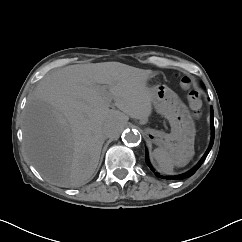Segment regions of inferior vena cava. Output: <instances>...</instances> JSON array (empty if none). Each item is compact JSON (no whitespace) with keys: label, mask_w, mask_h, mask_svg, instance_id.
I'll list each match as a JSON object with an SVG mask.
<instances>
[{"label":"inferior vena cava","mask_w":242,"mask_h":242,"mask_svg":"<svg viewBox=\"0 0 242 242\" xmlns=\"http://www.w3.org/2000/svg\"><path fill=\"white\" fill-rule=\"evenodd\" d=\"M121 127V122L117 118H112L108 124L103 128V134L107 138H112Z\"/></svg>","instance_id":"obj_1"}]
</instances>
